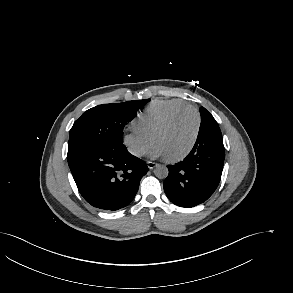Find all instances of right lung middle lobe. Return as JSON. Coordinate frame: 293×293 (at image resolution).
I'll return each mask as SVG.
<instances>
[{
    "mask_svg": "<svg viewBox=\"0 0 293 293\" xmlns=\"http://www.w3.org/2000/svg\"><path fill=\"white\" fill-rule=\"evenodd\" d=\"M150 99L103 104L84 112L70 130L67 160L95 148L123 144V128Z\"/></svg>",
    "mask_w": 293,
    "mask_h": 293,
    "instance_id": "right-lung-middle-lobe-1",
    "label": "right lung middle lobe"
}]
</instances>
